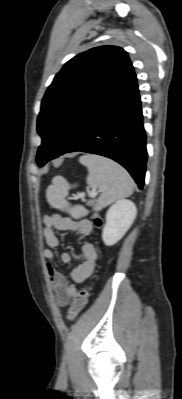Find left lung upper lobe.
Returning a JSON list of instances; mask_svg holds the SVG:
<instances>
[{
  "instance_id": "1",
  "label": "left lung upper lobe",
  "mask_w": 182,
  "mask_h": 399,
  "mask_svg": "<svg viewBox=\"0 0 182 399\" xmlns=\"http://www.w3.org/2000/svg\"><path fill=\"white\" fill-rule=\"evenodd\" d=\"M136 75L120 47L101 46L69 60L48 87L37 120L42 137L36 162L58 157L89 119Z\"/></svg>"
}]
</instances>
